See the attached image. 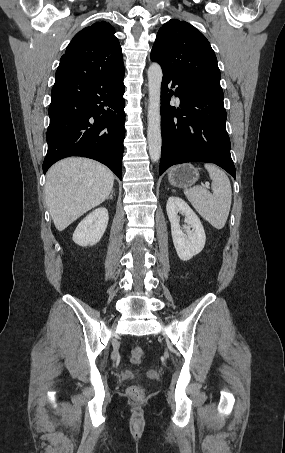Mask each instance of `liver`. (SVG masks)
Instances as JSON below:
<instances>
[{"label":"liver","mask_w":285,"mask_h":453,"mask_svg":"<svg viewBox=\"0 0 285 453\" xmlns=\"http://www.w3.org/2000/svg\"><path fill=\"white\" fill-rule=\"evenodd\" d=\"M113 184L111 170L94 160L71 157L54 164L46 174L45 196L57 230L104 202Z\"/></svg>","instance_id":"liver-1"}]
</instances>
